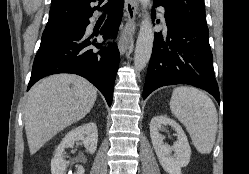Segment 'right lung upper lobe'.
Segmentation results:
<instances>
[{"instance_id":"right-lung-upper-lobe-1","label":"right lung upper lobe","mask_w":249,"mask_h":174,"mask_svg":"<svg viewBox=\"0 0 249 174\" xmlns=\"http://www.w3.org/2000/svg\"><path fill=\"white\" fill-rule=\"evenodd\" d=\"M96 1L98 0H52L49 20L46 27H52L72 20L91 17L94 10H101L103 8H99V5L104 0H99V5L91 8L90 4ZM108 1L109 3L105 6H111L112 2L115 0Z\"/></svg>"}]
</instances>
